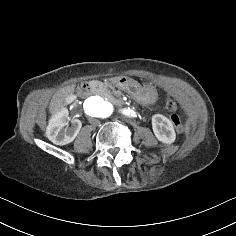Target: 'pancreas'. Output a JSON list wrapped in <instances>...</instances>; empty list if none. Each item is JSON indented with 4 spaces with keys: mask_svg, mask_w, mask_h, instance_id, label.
Segmentation results:
<instances>
[{
    "mask_svg": "<svg viewBox=\"0 0 236 236\" xmlns=\"http://www.w3.org/2000/svg\"><path fill=\"white\" fill-rule=\"evenodd\" d=\"M94 83L97 85V89H96L97 95H100L101 97L107 98L110 100L113 99V96L107 84H104L101 81H94Z\"/></svg>",
    "mask_w": 236,
    "mask_h": 236,
    "instance_id": "pancreas-1",
    "label": "pancreas"
}]
</instances>
